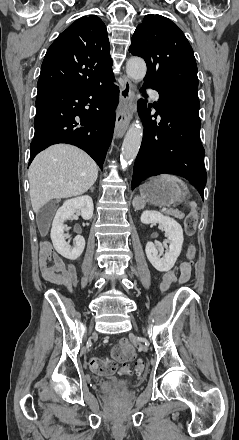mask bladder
Here are the masks:
<instances>
[{
  "mask_svg": "<svg viewBox=\"0 0 239 440\" xmlns=\"http://www.w3.org/2000/svg\"><path fill=\"white\" fill-rule=\"evenodd\" d=\"M122 385H124L125 387H134L135 384L131 381H122Z\"/></svg>",
  "mask_w": 239,
  "mask_h": 440,
  "instance_id": "31cf9c89",
  "label": "bladder"
}]
</instances>
